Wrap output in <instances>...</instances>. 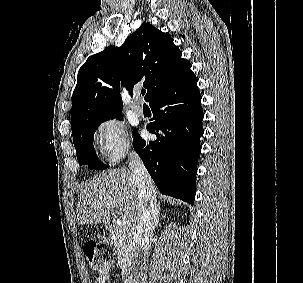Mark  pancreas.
<instances>
[{"label": "pancreas", "instance_id": "cf45deb5", "mask_svg": "<svg viewBox=\"0 0 303 283\" xmlns=\"http://www.w3.org/2000/svg\"><path fill=\"white\" fill-rule=\"evenodd\" d=\"M111 235L112 243L117 252L118 264L121 269L126 270L131 265L135 251L131 231L120 225L113 229Z\"/></svg>", "mask_w": 303, "mask_h": 283}]
</instances>
